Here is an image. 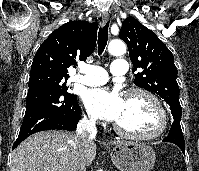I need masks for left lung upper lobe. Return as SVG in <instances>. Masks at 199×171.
I'll use <instances>...</instances> for the list:
<instances>
[{
  "mask_svg": "<svg viewBox=\"0 0 199 171\" xmlns=\"http://www.w3.org/2000/svg\"><path fill=\"white\" fill-rule=\"evenodd\" d=\"M119 38L128 46L134 71L142 69L135 75V85L162 97L170 106L173 118L181 120L178 72L171 51L155 33L133 17L123 21Z\"/></svg>",
  "mask_w": 199,
  "mask_h": 171,
  "instance_id": "1",
  "label": "left lung upper lobe"
}]
</instances>
